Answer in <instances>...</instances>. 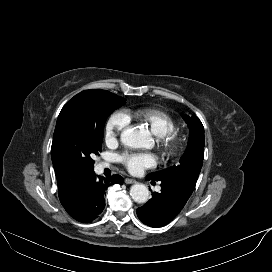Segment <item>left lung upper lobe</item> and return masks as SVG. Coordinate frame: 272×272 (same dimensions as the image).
Returning a JSON list of instances; mask_svg holds the SVG:
<instances>
[{
  "mask_svg": "<svg viewBox=\"0 0 272 272\" xmlns=\"http://www.w3.org/2000/svg\"><path fill=\"white\" fill-rule=\"evenodd\" d=\"M190 126L188 146L179 164L147 175L151 180L168 182L192 194L204 158V127L196 115L183 116Z\"/></svg>",
  "mask_w": 272,
  "mask_h": 272,
  "instance_id": "1",
  "label": "left lung upper lobe"
}]
</instances>
